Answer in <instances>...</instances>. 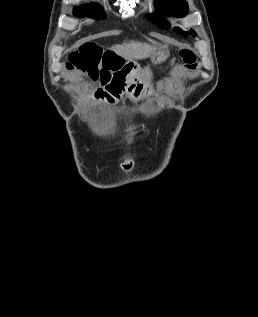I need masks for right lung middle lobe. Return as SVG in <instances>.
<instances>
[{"label":"right lung middle lobe","instance_id":"1","mask_svg":"<svg viewBox=\"0 0 258 317\" xmlns=\"http://www.w3.org/2000/svg\"><path fill=\"white\" fill-rule=\"evenodd\" d=\"M91 10L88 7H76L74 9V15L79 16V17H84L89 13ZM95 15L98 18H105L104 14H101L99 11H96Z\"/></svg>","mask_w":258,"mask_h":317}]
</instances>
